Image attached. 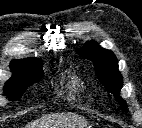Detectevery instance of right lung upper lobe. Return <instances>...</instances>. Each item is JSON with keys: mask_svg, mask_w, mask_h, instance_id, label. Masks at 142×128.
I'll return each mask as SVG.
<instances>
[{"mask_svg": "<svg viewBox=\"0 0 142 128\" xmlns=\"http://www.w3.org/2000/svg\"><path fill=\"white\" fill-rule=\"evenodd\" d=\"M38 64H41V61L34 58L15 60L11 62L10 67L13 71L11 79L21 77L27 70Z\"/></svg>", "mask_w": 142, "mask_h": 128, "instance_id": "right-lung-upper-lobe-1", "label": "right lung upper lobe"}]
</instances>
